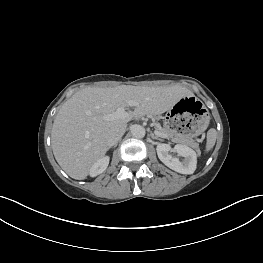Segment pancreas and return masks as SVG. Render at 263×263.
<instances>
[{"mask_svg": "<svg viewBox=\"0 0 263 263\" xmlns=\"http://www.w3.org/2000/svg\"><path fill=\"white\" fill-rule=\"evenodd\" d=\"M157 130L164 135L163 138L171 139L173 142L182 143L198 150L199 144L193 139L178 137L175 131L170 128H158Z\"/></svg>", "mask_w": 263, "mask_h": 263, "instance_id": "1", "label": "pancreas"}]
</instances>
